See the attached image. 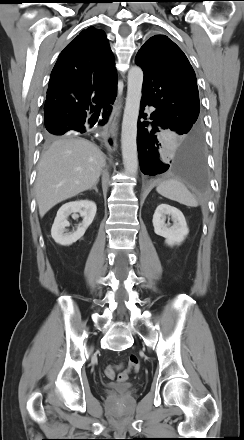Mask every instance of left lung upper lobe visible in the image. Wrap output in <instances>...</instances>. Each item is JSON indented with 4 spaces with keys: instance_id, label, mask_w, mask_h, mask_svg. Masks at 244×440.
<instances>
[{
    "instance_id": "5c2ea615",
    "label": "left lung upper lobe",
    "mask_w": 244,
    "mask_h": 440,
    "mask_svg": "<svg viewBox=\"0 0 244 440\" xmlns=\"http://www.w3.org/2000/svg\"><path fill=\"white\" fill-rule=\"evenodd\" d=\"M135 63L144 72L142 100L154 106L177 134L201 133L196 75L182 50L167 36L155 35L141 47Z\"/></svg>"
}]
</instances>
